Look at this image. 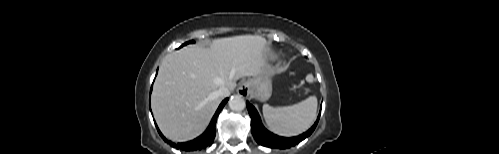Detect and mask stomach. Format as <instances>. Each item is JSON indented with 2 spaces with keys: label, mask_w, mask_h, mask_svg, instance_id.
<instances>
[{
  "label": "stomach",
  "mask_w": 499,
  "mask_h": 154,
  "mask_svg": "<svg viewBox=\"0 0 499 154\" xmlns=\"http://www.w3.org/2000/svg\"><path fill=\"white\" fill-rule=\"evenodd\" d=\"M273 75L274 70L266 66L262 75L248 80L251 95L260 101L268 100L272 94L271 78Z\"/></svg>",
  "instance_id": "stomach-1"
}]
</instances>
